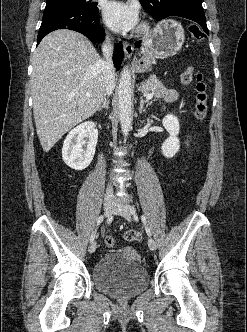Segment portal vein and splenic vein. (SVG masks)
<instances>
[{"mask_svg": "<svg viewBox=\"0 0 247 332\" xmlns=\"http://www.w3.org/2000/svg\"><path fill=\"white\" fill-rule=\"evenodd\" d=\"M87 96H89V94H87ZM147 100H151L153 98V94L152 93H148L145 95Z\"/></svg>", "mask_w": 247, "mask_h": 332, "instance_id": "18ae733b", "label": "portal vein and splenic vein"}]
</instances>
